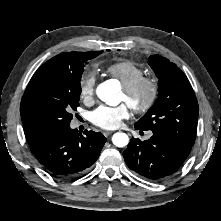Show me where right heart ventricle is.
Returning a JSON list of instances; mask_svg holds the SVG:
<instances>
[{"instance_id": "e07e8e85", "label": "right heart ventricle", "mask_w": 221, "mask_h": 221, "mask_svg": "<svg viewBox=\"0 0 221 221\" xmlns=\"http://www.w3.org/2000/svg\"><path fill=\"white\" fill-rule=\"evenodd\" d=\"M107 73L126 85L144 76V69L133 61L122 60L108 66Z\"/></svg>"}]
</instances>
